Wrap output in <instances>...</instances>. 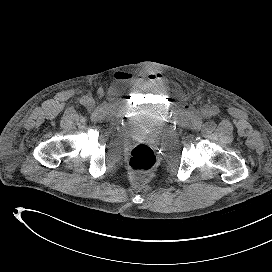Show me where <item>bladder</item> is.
<instances>
[{"mask_svg": "<svg viewBox=\"0 0 272 272\" xmlns=\"http://www.w3.org/2000/svg\"><path fill=\"white\" fill-rule=\"evenodd\" d=\"M137 131L141 134L149 136L154 139L161 137L163 132L162 124L151 116H145L140 121Z\"/></svg>", "mask_w": 272, "mask_h": 272, "instance_id": "1", "label": "bladder"}]
</instances>
